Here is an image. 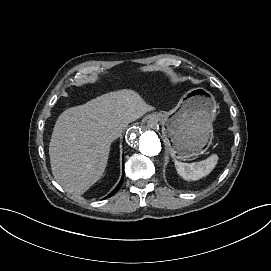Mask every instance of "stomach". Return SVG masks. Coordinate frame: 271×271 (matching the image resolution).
Returning a JSON list of instances; mask_svg holds the SVG:
<instances>
[{
	"mask_svg": "<svg viewBox=\"0 0 271 271\" xmlns=\"http://www.w3.org/2000/svg\"><path fill=\"white\" fill-rule=\"evenodd\" d=\"M215 113V100L204 89L190 91L174 109L159 113L166 151L180 160L205 153L213 141Z\"/></svg>",
	"mask_w": 271,
	"mask_h": 271,
	"instance_id": "obj_1",
	"label": "stomach"
}]
</instances>
